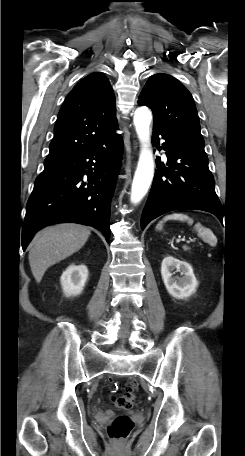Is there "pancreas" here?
Listing matches in <instances>:
<instances>
[{
  "label": "pancreas",
  "mask_w": 245,
  "mask_h": 456,
  "mask_svg": "<svg viewBox=\"0 0 245 456\" xmlns=\"http://www.w3.org/2000/svg\"><path fill=\"white\" fill-rule=\"evenodd\" d=\"M185 250H189V247H185Z\"/></svg>",
  "instance_id": "cf45deb5"
}]
</instances>
